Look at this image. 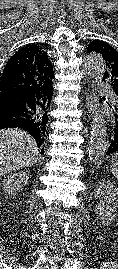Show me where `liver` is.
Returning a JSON list of instances; mask_svg holds the SVG:
<instances>
[{
    "label": "liver",
    "mask_w": 118,
    "mask_h": 269,
    "mask_svg": "<svg viewBox=\"0 0 118 269\" xmlns=\"http://www.w3.org/2000/svg\"><path fill=\"white\" fill-rule=\"evenodd\" d=\"M38 155L36 141L27 132L0 130V176L35 164Z\"/></svg>",
    "instance_id": "liver-1"
}]
</instances>
